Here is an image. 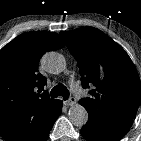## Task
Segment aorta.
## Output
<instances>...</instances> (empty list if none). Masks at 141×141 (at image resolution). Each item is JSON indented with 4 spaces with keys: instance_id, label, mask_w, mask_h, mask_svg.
<instances>
[{
    "instance_id": "obj_1",
    "label": "aorta",
    "mask_w": 141,
    "mask_h": 141,
    "mask_svg": "<svg viewBox=\"0 0 141 141\" xmlns=\"http://www.w3.org/2000/svg\"><path fill=\"white\" fill-rule=\"evenodd\" d=\"M42 65L48 73L58 74L64 68V58L57 52H48L42 57ZM68 118L76 127H83L88 121V113L81 105L72 106Z\"/></svg>"
}]
</instances>
